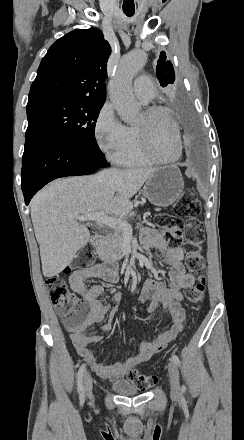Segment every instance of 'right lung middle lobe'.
<instances>
[{"label": "right lung middle lobe", "mask_w": 244, "mask_h": 440, "mask_svg": "<svg viewBox=\"0 0 244 440\" xmlns=\"http://www.w3.org/2000/svg\"><path fill=\"white\" fill-rule=\"evenodd\" d=\"M105 100L88 98L31 99L26 132H48L89 148H99L95 124Z\"/></svg>", "instance_id": "obj_1"}]
</instances>
